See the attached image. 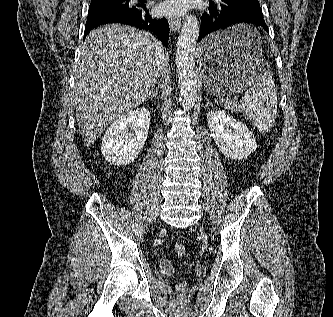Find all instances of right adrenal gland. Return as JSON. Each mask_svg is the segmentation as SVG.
Returning <instances> with one entry per match:
<instances>
[{
    "label": "right adrenal gland",
    "instance_id": "1",
    "mask_svg": "<svg viewBox=\"0 0 333 317\" xmlns=\"http://www.w3.org/2000/svg\"><path fill=\"white\" fill-rule=\"evenodd\" d=\"M158 90H159V87H155L152 91V94H150L147 99H152V98H156L158 99Z\"/></svg>",
    "mask_w": 333,
    "mask_h": 317
}]
</instances>
